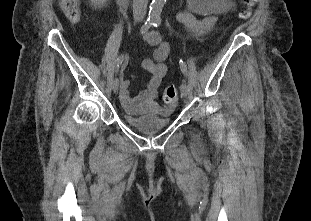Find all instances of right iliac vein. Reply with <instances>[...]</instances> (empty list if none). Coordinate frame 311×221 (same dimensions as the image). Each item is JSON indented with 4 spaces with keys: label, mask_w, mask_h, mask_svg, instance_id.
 <instances>
[{
    "label": "right iliac vein",
    "mask_w": 311,
    "mask_h": 221,
    "mask_svg": "<svg viewBox=\"0 0 311 221\" xmlns=\"http://www.w3.org/2000/svg\"><path fill=\"white\" fill-rule=\"evenodd\" d=\"M119 88V80L117 78H115L113 81H112V90L114 92H116Z\"/></svg>",
    "instance_id": "right-iliac-vein-1"
}]
</instances>
